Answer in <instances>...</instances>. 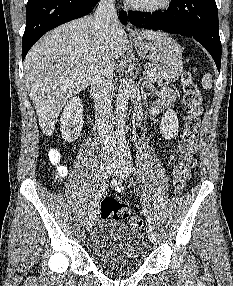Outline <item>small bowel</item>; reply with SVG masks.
I'll return each mask as SVG.
<instances>
[{
  "mask_svg": "<svg viewBox=\"0 0 233 286\" xmlns=\"http://www.w3.org/2000/svg\"><path fill=\"white\" fill-rule=\"evenodd\" d=\"M175 100V93L172 89L168 87H164L161 89V91L158 93V99L153 103L151 112L152 113H158L172 105V103ZM59 171L65 175L67 172V169L65 167H60ZM113 186L116 190L122 191L124 187L122 184L118 181H113Z\"/></svg>",
  "mask_w": 233,
  "mask_h": 286,
  "instance_id": "1",
  "label": "small bowel"
}]
</instances>
